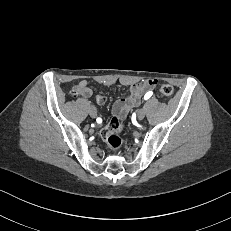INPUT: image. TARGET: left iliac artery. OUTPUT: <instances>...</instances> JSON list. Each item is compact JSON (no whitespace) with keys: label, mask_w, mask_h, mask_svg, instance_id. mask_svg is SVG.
<instances>
[{"label":"left iliac artery","mask_w":231,"mask_h":231,"mask_svg":"<svg viewBox=\"0 0 231 231\" xmlns=\"http://www.w3.org/2000/svg\"><path fill=\"white\" fill-rule=\"evenodd\" d=\"M152 95H153V92H152V91H149V92H147V93L145 94L144 99L147 100V99H149Z\"/></svg>","instance_id":"1"}]
</instances>
